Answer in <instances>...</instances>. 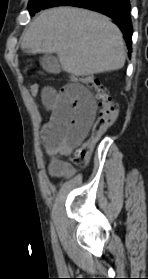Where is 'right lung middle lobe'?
Listing matches in <instances>:
<instances>
[{"label": "right lung middle lobe", "instance_id": "1", "mask_svg": "<svg viewBox=\"0 0 148 279\" xmlns=\"http://www.w3.org/2000/svg\"><path fill=\"white\" fill-rule=\"evenodd\" d=\"M48 0H30L28 4V9L31 15L43 9V6Z\"/></svg>", "mask_w": 148, "mask_h": 279}]
</instances>
